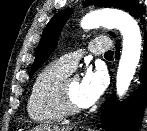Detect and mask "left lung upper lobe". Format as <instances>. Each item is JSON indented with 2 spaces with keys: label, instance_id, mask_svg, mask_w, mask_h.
<instances>
[{
  "label": "left lung upper lobe",
  "instance_id": "1",
  "mask_svg": "<svg viewBox=\"0 0 147 131\" xmlns=\"http://www.w3.org/2000/svg\"><path fill=\"white\" fill-rule=\"evenodd\" d=\"M92 2V0H87L85 2V6ZM94 2H96V4L100 7L124 9L130 12L134 17H140L144 13L143 6L138 4L137 0H96ZM70 14V9H65L58 12L45 27L37 48L36 57L31 68L30 76L36 72V70L47 60V58L56 48L60 31L62 30V27L66 23ZM110 34L115 36L113 33Z\"/></svg>",
  "mask_w": 147,
  "mask_h": 131
}]
</instances>
